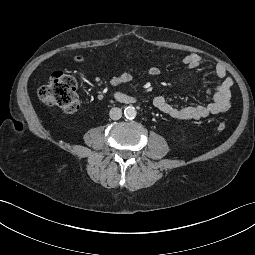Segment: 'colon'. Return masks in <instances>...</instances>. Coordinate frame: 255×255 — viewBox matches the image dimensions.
Listing matches in <instances>:
<instances>
[{"mask_svg":"<svg viewBox=\"0 0 255 255\" xmlns=\"http://www.w3.org/2000/svg\"><path fill=\"white\" fill-rule=\"evenodd\" d=\"M75 90L76 81L74 78L63 71H56L52 74L48 84L38 90V97L45 105L58 107L64 113L70 114L78 109ZM217 129L224 131L225 123H218Z\"/></svg>","mask_w":255,"mask_h":255,"instance_id":"colon-1","label":"colon"}]
</instances>
